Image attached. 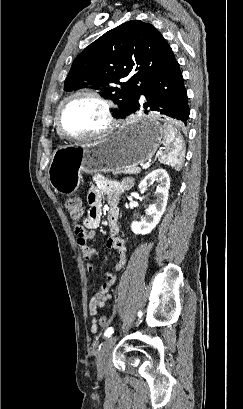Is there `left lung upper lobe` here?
I'll return each mask as SVG.
<instances>
[{"label": "left lung upper lobe", "instance_id": "1", "mask_svg": "<svg viewBox=\"0 0 243 409\" xmlns=\"http://www.w3.org/2000/svg\"><path fill=\"white\" fill-rule=\"evenodd\" d=\"M175 61L171 47L153 25L132 20L86 47L73 61L64 88L95 86L118 105L116 117L124 118L144 86ZM128 76L126 82L119 81Z\"/></svg>", "mask_w": 243, "mask_h": 409}]
</instances>
